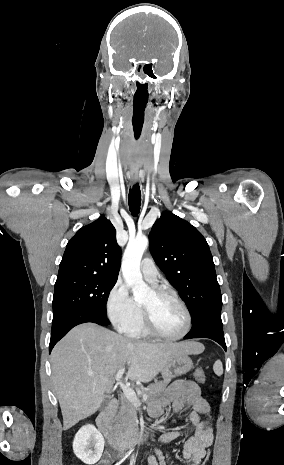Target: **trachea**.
<instances>
[{
  "label": "trachea",
  "mask_w": 284,
  "mask_h": 465,
  "mask_svg": "<svg viewBox=\"0 0 284 465\" xmlns=\"http://www.w3.org/2000/svg\"><path fill=\"white\" fill-rule=\"evenodd\" d=\"M129 209L134 217H137L141 206V192L139 183L133 185L129 191L128 197Z\"/></svg>",
  "instance_id": "obj_1"
}]
</instances>
